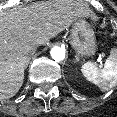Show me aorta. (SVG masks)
<instances>
[{"mask_svg": "<svg viewBox=\"0 0 117 117\" xmlns=\"http://www.w3.org/2000/svg\"><path fill=\"white\" fill-rule=\"evenodd\" d=\"M52 59L56 62L62 61L65 58V50L61 47H53L50 51Z\"/></svg>", "mask_w": 117, "mask_h": 117, "instance_id": "1", "label": "aorta"}]
</instances>
